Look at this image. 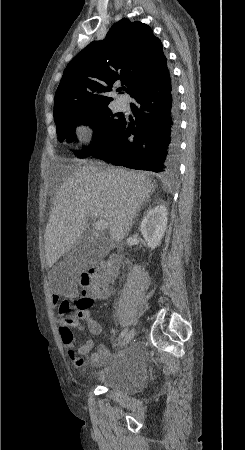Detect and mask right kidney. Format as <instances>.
Returning <instances> with one entry per match:
<instances>
[{
    "label": "right kidney",
    "instance_id": "obj_1",
    "mask_svg": "<svg viewBox=\"0 0 245 450\" xmlns=\"http://www.w3.org/2000/svg\"><path fill=\"white\" fill-rule=\"evenodd\" d=\"M167 209L163 205L152 208L143 218L140 231L151 249L159 246L167 228Z\"/></svg>",
    "mask_w": 245,
    "mask_h": 450
}]
</instances>
